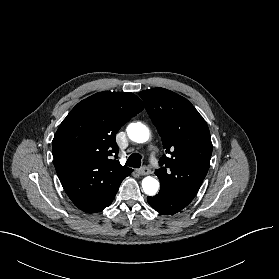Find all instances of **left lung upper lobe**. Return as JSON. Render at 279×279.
Segmentation results:
<instances>
[{
    "label": "left lung upper lobe",
    "mask_w": 279,
    "mask_h": 279,
    "mask_svg": "<svg viewBox=\"0 0 279 279\" xmlns=\"http://www.w3.org/2000/svg\"><path fill=\"white\" fill-rule=\"evenodd\" d=\"M168 156L160 159L161 189L194 197L208 172L212 142L208 126L184 97L164 88L139 93Z\"/></svg>",
    "instance_id": "left-lung-upper-lobe-1"
}]
</instances>
